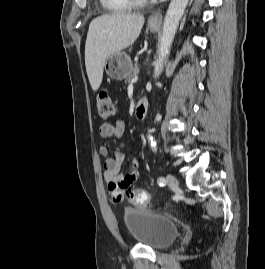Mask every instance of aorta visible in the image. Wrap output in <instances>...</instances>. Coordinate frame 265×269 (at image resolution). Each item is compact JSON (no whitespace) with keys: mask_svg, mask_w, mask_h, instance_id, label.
I'll use <instances>...</instances> for the list:
<instances>
[{"mask_svg":"<svg viewBox=\"0 0 265 269\" xmlns=\"http://www.w3.org/2000/svg\"><path fill=\"white\" fill-rule=\"evenodd\" d=\"M187 4L188 0H171L170 2L164 18L162 36L158 48V59L154 63L155 78H158L163 71L165 58L170 54L173 39ZM147 139L152 150H155L156 142L154 138L148 134Z\"/></svg>","mask_w":265,"mask_h":269,"instance_id":"762f6f07","label":"aorta"}]
</instances>
